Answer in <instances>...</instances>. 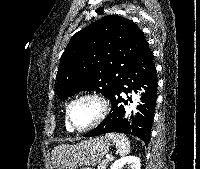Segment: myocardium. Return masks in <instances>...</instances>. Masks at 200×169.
Wrapping results in <instances>:
<instances>
[{
  "label": "myocardium",
  "instance_id": "f54148a6",
  "mask_svg": "<svg viewBox=\"0 0 200 169\" xmlns=\"http://www.w3.org/2000/svg\"><path fill=\"white\" fill-rule=\"evenodd\" d=\"M86 99H90L93 100L97 103L99 111H98V115L96 117V119L94 120L93 123H91L90 125L83 127V128H78L75 127L72 123L71 120V108L72 106L77 103L78 101L81 100H86ZM109 108H110V104H109V100L100 92L97 91H86L83 92L77 96H75L67 105L66 107V121L68 126L71 128L72 131H76V132H88L91 131L93 129H95L97 126H99L103 120L106 118L108 112H109Z\"/></svg>",
  "mask_w": 200,
  "mask_h": 169
}]
</instances>
